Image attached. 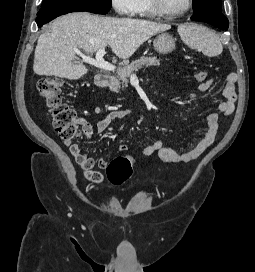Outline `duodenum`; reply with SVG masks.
I'll return each instance as SVG.
<instances>
[{"label":"duodenum","mask_w":255,"mask_h":272,"mask_svg":"<svg viewBox=\"0 0 255 272\" xmlns=\"http://www.w3.org/2000/svg\"><path fill=\"white\" fill-rule=\"evenodd\" d=\"M115 80V76L111 74L99 73L96 75L95 84L99 89H105Z\"/></svg>","instance_id":"1"}]
</instances>
